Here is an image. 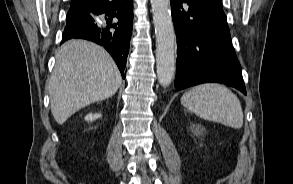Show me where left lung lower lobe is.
Returning a JSON list of instances; mask_svg holds the SVG:
<instances>
[{
  "mask_svg": "<svg viewBox=\"0 0 293 184\" xmlns=\"http://www.w3.org/2000/svg\"><path fill=\"white\" fill-rule=\"evenodd\" d=\"M170 3L177 38L176 89L218 82L246 95L221 0Z\"/></svg>",
  "mask_w": 293,
  "mask_h": 184,
  "instance_id": "left-lung-lower-lobe-1",
  "label": "left lung lower lobe"
}]
</instances>
